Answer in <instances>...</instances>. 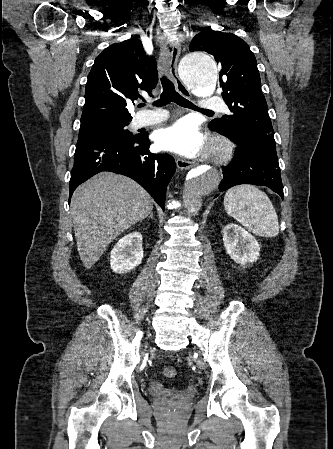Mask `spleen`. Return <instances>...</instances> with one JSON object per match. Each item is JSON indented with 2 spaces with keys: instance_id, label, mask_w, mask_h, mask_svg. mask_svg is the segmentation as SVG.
Wrapping results in <instances>:
<instances>
[{
  "instance_id": "1",
  "label": "spleen",
  "mask_w": 333,
  "mask_h": 449,
  "mask_svg": "<svg viewBox=\"0 0 333 449\" xmlns=\"http://www.w3.org/2000/svg\"><path fill=\"white\" fill-rule=\"evenodd\" d=\"M224 207L249 231L266 237L279 233L277 213L265 192L252 185L230 188L224 197Z\"/></svg>"
}]
</instances>
